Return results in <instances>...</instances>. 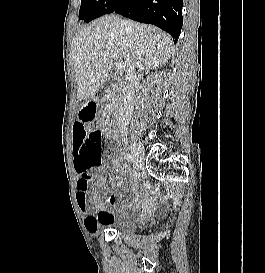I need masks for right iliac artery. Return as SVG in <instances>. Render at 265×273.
Segmentation results:
<instances>
[{
	"instance_id": "obj_1",
	"label": "right iliac artery",
	"mask_w": 265,
	"mask_h": 273,
	"mask_svg": "<svg viewBox=\"0 0 265 273\" xmlns=\"http://www.w3.org/2000/svg\"><path fill=\"white\" fill-rule=\"evenodd\" d=\"M124 159H126L128 162H133L134 157L130 153H125L124 154Z\"/></svg>"
}]
</instances>
